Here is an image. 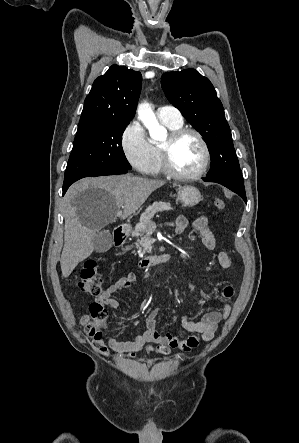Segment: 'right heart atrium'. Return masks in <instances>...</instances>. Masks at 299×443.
Wrapping results in <instances>:
<instances>
[{"label": "right heart atrium", "instance_id": "right-heart-atrium-1", "mask_svg": "<svg viewBox=\"0 0 299 443\" xmlns=\"http://www.w3.org/2000/svg\"><path fill=\"white\" fill-rule=\"evenodd\" d=\"M120 145L123 154L133 168L147 173L151 165L150 143L142 125L134 120L122 131Z\"/></svg>", "mask_w": 299, "mask_h": 443}]
</instances>
